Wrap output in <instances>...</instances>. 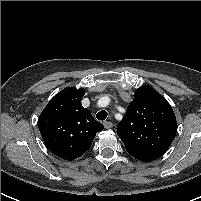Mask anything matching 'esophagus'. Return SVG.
<instances>
[{
    "mask_svg": "<svg viewBox=\"0 0 201 201\" xmlns=\"http://www.w3.org/2000/svg\"><path fill=\"white\" fill-rule=\"evenodd\" d=\"M103 125H104V127H105L106 129H110V128L113 127V123L110 122V121H104V122H103Z\"/></svg>",
    "mask_w": 201,
    "mask_h": 201,
    "instance_id": "obj_1",
    "label": "esophagus"
}]
</instances>
